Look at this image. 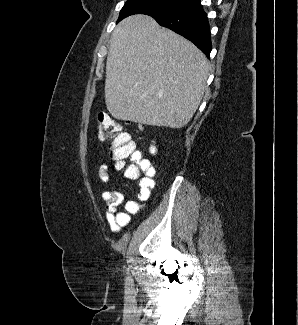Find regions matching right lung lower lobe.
Returning <instances> with one entry per match:
<instances>
[{"mask_svg": "<svg viewBox=\"0 0 298 325\" xmlns=\"http://www.w3.org/2000/svg\"><path fill=\"white\" fill-rule=\"evenodd\" d=\"M152 17L161 26L167 27L193 42L209 57L212 49L209 23L200 0H194L176 11Z\"/></svg>", "mask_w": 298, "mask_h": 325, "instance_id": "obj_1", "label": "right lung lower lobe"}]
</instances>
